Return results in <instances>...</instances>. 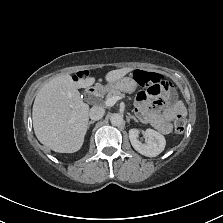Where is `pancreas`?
Returning <instances> with one entry per match:
<instances>
[{
	"label": "pancreas",
	"mask_w": 223,
	"mask_h": 223,
	"mask_svg": "<svg viewBox=\"0 0 223 223\" xmlns=\"http://www.w3.org/2000/svg\"><path fill=\"white\" fill-rule=\"evenodd\" d=\"M113 96L125 97V95L123 93L111 92V93L107 94L106 98H111Z\"/></svg>",
	"instance_id": "cf45deb5"
}]
</instances>
